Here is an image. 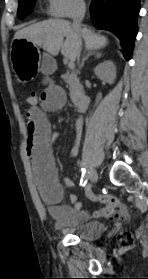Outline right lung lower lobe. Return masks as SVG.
Instances as JSON below:
<instances>
[{"label": "right lung lower lobe", "mask_w": 148, "mask_h": 279, "mask_svg": "<svg viewBox=\"0 0 148 279\" xmlns=\"http://www.w3.org/2000/svg\"><path fill=\"white\" fill-rule=\"evenodd\" d=\"M139 11L140 0H93L90 7L94 25L119 37L127 60L131 57L137 35Z\"/></svg>", "instance_id": "right-lung-lower-lobe-1"}]
</instances>
